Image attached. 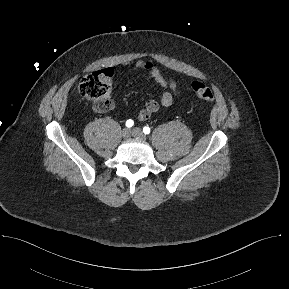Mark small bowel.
Here are the masks:
<instances>
[{
    "label": "small bowel",
    "mask_w": 289,
    "mask_h": 289,
    "mask_svg": "<svg viewBox=\"0 0 289 289\" xmlns=\"http://www.w3.org/2000/svg\"><path fill=\"white\" fill-rule=\"evenodd\" d=\"M126 66L147 71L150 76L164 89L159 102L156 100H149L138 112V120H147L152 114L158 112L159 110L170 108L173 105L175 98L181 96V92L178 89L176 81L174 79L166 78L152 61L133 60L128 62Z\"/></svg>",
    "instance_id": "c3829d8e"
}]
</instances>
